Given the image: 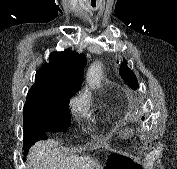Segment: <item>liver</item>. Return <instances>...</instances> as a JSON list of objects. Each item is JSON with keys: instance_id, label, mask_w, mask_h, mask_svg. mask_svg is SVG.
Segmentation results:
<instances>
[{"instance_id": "obj_1", "label": "liver", "mask_w": 177, "mask_h": 169, "mask_svg": "<svg viewBox=\"0 0 177 169\" xmlns=\"http://www.w3.org/2000/svg\"><path fill=\"white\" fill-rule=\"evenodd\" d=\"M27 169H102V165L90 156L67 155L59 142H38L29 151Z\"/></svg>"}]
</instances>
